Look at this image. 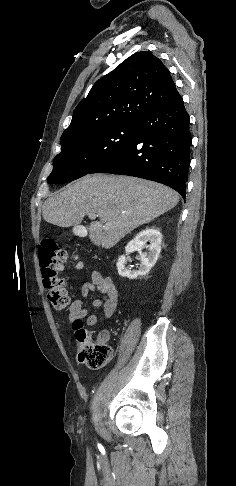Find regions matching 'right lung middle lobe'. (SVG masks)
I'll return each instance as SVG.
<instances>
[{"label":"right lung middle lobe","instance_id":"right-lung-middle-lobe-1","mask_svg":"<svg viewBox=\"0 0 236 486\" xmlns=\"http://www.w3.org/2000/svg\"><path fill=\"white\" fill-rule=\"evenodd\" d=\"M136 134V123L88 131L61 142L48 183L62 184L90 173L117 151L129 144Z\"/></svg>","mask_w":236,"mask_h":486}]
</instances>
